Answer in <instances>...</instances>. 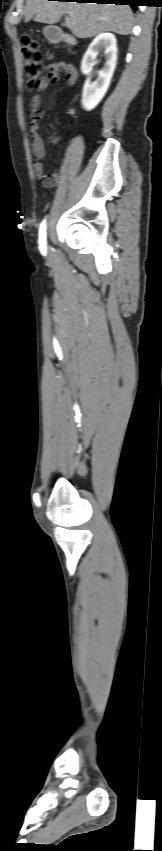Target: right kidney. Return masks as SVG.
<instances>
[{"instance_id": "ca27d5eb", "label": "right kidney", "mask_w": 162, "mask_h": 851, "mask_svg": "<svg viewBox=\"0 0 162 851\" xmlns=\"http://www.w3.org/2000/svg\"><path fill=\"white\" fill-rule=\"evenodd\" d=\"M99 49H104L105 64L99 71L98 78L94 82L86 80L82 92V107L91 111L104 97L107 92L117 61L116 38L112 33H101L91 42L81 62V71L89 75L98 55Z\"/></svg>"}]
</instances>
